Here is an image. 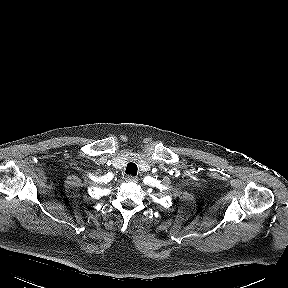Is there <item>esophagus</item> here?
<instances>
[{
  "label": "esophagus",
  "instance_id": "34e87169",
  "mask_svg": "<svg viewBox=\"0 0 288 288\" xmlns=\"http://www.w3.org/2000/svg\"><path fill=\"white\" fill-rule=\"evenodd\" d=\"M125 179L128 182H137V180H138L137 177L134 175H127Z\"/></svg>",
  "mask_w": 288,
  "mask_h": 288
}]
</instances>
